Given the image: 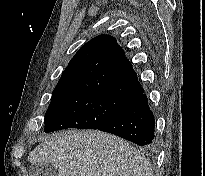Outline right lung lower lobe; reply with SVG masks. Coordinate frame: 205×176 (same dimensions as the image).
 Returning <instances> with one entry per match:
<instances>
[{
    "label": "right lung lower lobe",
    "mask_w": 205,
    "mask_h": 176,
    "mask_svg": "<svg viewBox=\"0 0 205 176\" xmlns=\"http://www.w3.org/2000/svg\"><path fill=\"white\" fill-rule=\"evenodd\" d=\"M155 119L144 91L128 100L122 110L98 130L112 133L140 146H153Z\"/></svg>",
    "instance_id": "right-lung-lower-lobe-1"
}]
</instances>
